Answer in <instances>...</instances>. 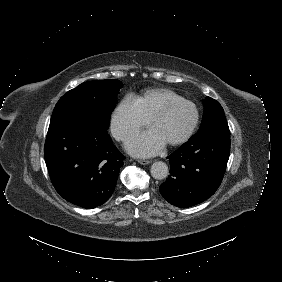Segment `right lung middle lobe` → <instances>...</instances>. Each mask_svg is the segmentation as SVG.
<instances>
[{"label": "right lung middle lobe", "instance_id": "right-lung-middle-lobe-1", "mask_svg": "<svg viewBox=\"0 0 282 282\" xmlns=\"http://www.w3.org/2000/svg\"><path fill=\"white\" fill-rule=\"evenodd\" d=\"M122 83L116 79L85 82L67 92L56 104L51 121L71 113H84L109 128L110 115Z\"/></svg>", "mask_w": 282, "mask_h": 282}]
</instances>
